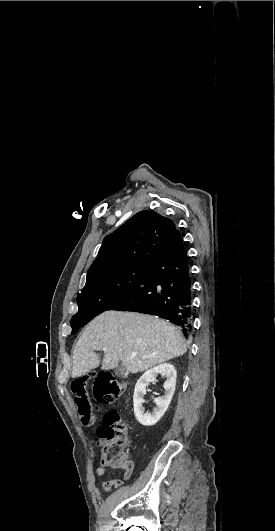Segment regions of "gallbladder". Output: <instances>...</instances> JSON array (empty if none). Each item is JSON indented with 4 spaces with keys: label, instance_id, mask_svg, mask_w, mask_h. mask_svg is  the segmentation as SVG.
Returning <instances> with one entry per match:
<instances>
[{
    "label": "gallbladder",
    "instance_id": "gallbladder-1",
    "mask_svg": "<svg viewBox=\"0 0 275 531\" xmlns=\"http://www.w3.org/2000/svg\"><path fill=\"white\" fill-rule=\"evenodd\" d=\"M115 375H117V377H121V379H126V377H128V371H126L124 365H122V363H119L118 367H116L115 371H114Z\"/></svg>",
    "mask_w": 275,
    "mask_h": 531
}]
</instances>
